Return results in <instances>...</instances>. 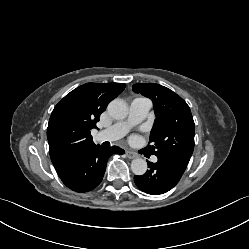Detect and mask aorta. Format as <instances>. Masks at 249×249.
Wrapping results in <instances>:
<instances>
[{"label":"aorta","mask_w":249,"mask_h":249,"mask_svg":"<svg viewBox=\"0 0 249 249\" xmlns=\"http://www.w3.org/2000/svg\"><path fill=\"white\" fill-rule=\"evenodd\" d=\"M108 113L111 117L121 120L128 115V106L121 99L112 100L107 107ZM131 170L135 175H144L147 171V162L142 158L134 159L131 162Z\"/></svg>","instance_id":"obj_1"}]
</instances>
